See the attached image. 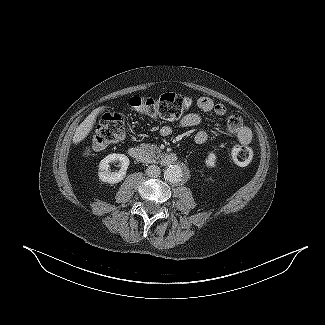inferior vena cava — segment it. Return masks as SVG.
Instances as JSON below:
<instances>
[{"label":"inferior vena cava","mask_w":325,"mask_h":325,"mask_svg":"<svg viewBox=\"0 0 325 325\" xmlns=\"http://www.w3.org/2000/svg\"><path fill=\"white\" fill-rule=\"evenodd\" d=\"M161 173V170L158 166L156 165H150L147 169H146V174L149 177H158Z\"/></svg>","instance_id":"1"}]
</instances>
